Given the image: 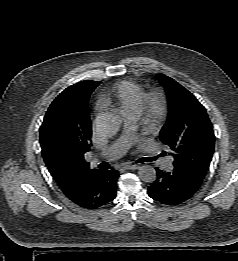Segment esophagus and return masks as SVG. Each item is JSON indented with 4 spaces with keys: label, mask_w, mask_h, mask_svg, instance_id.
Returning <instances> with one entry per match:
<instances>
[{
    "label": "esophagus",
    "mask_w": 238,
    "mask_h": 261,
    "mask_svg": "<svg viewBox=\"0 0 238 261\" xmlns=\"http://www.w3.org/2000/svg\"><path fill=\"white\" fill-rule=\"evenodd\" d=\"M123 168L124 169H127V170H136L139 168L138 165H133V164H129V163H126L123 165Z\"/></svg>",
    "instance_id": "1"
}]
</instances>
